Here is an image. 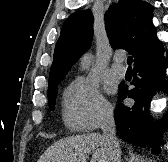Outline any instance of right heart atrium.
Segmentation results:
<instances>
[{
    "instance_id": "obj_1",
    "label": "right heart atrium",
    "mask_w": 168,
    "mask_h": 162,
    "mask_svg": "<svg viewBox=\"0 0 168 162\" xmlns=\"http://www.w3.org/2000/svg\"><path fill=\"white\" fill-rule=\"evenodd\" d=\"M113 108L101 94L98 84L89 78H76L67 87L63 118L76 130L91 131L107 123Z\"/></svg>"
}]
</instances>
